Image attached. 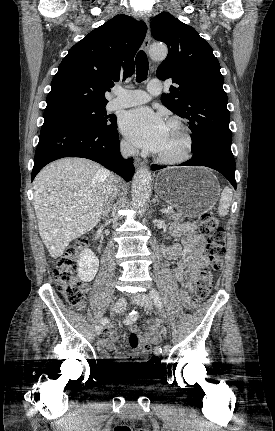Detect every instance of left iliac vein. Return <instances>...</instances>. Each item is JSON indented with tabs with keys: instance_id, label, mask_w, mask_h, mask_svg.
I'll return each mask as SVG.
<instances>
[{
	"instance_id": "obj_1",
	"label": "left iliac vein",
	"mask_w": 275,
	"mask_h": 431,
	"mask_svg": "<svg viewBox=\"0 0 275 431\" xmlns=\"http://www.w3.org/2000/svg\"><path fill=\"white\" fill-rule=\"evenodd\" d=\"M133 302L144 307L147 310L152 309V301L149 295L146 293H139L133 297ZM171 347L169 345L164 346L162 355L166 356L169 354Z\"/></svg>"
}]
</instances>
